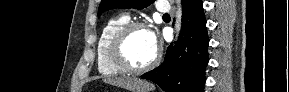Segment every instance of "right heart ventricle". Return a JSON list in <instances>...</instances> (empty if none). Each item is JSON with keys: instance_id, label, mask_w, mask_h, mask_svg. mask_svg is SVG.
<instances>
[{"instance_id": "e07e8e85", "label": "right heart ventricle", "mask_w": 289, "mask_h": 92, "mask_svg": "<svg viewBox=\"0 0 289 92\" xmlns=\"http://www.w3.org/2000/svg\"><path fill=\"white\" fill-rule=\"evenodd\" d=\"M127 22H129L128 16L119 15L109 19L101 30L96 54L98 71L104 76H114L124 72L112 63L109 56V46L115 33Z\"/></svg>"}]
</instances>
